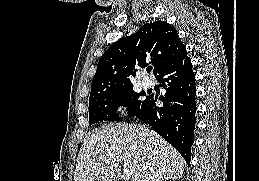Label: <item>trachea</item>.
I'll list each match as a JSON object with an SVG mask.
<instances>
[{
	"instance_id": "obj_1",
	"label": "trachea",
	"mask_w": 259,
	"mask_h": 181,
	"mask_svg": "<svg viewBox=\"0 0 259 181\" xmlns=\"http://www.w3.org/2000/svg\"><path fill=\"white\" fill-rule=\"evenodd\" d=\"M146 70H147L148 73H150L151 70H152V67H148Z\"/></svg>"
}]
</instances>
